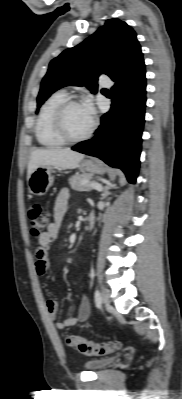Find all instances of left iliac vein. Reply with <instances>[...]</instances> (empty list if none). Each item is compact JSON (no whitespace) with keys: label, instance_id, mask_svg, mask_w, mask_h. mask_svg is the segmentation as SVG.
Segmentation results:
<instances>
[{"label":"left iliac vein","instance_id":"left-iliac-vein-1","mask_svg":"<svg viewBox=\"0 0 182 399\" xmlns=\"http://www.w3.org/2000/svg\"><path fill=\"white\" fill-rule=\"evenodd\" d=\"M102 301L106 308L110 307V294L107 290L102 292Z\"/></svg>","mask_w":182,"mask_h":399}]
</instances>
